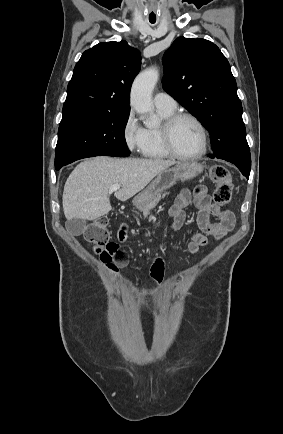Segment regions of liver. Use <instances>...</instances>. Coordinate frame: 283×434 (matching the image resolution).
<instances>
[{
    "mask_svg": "<svg viewBox=\"0 0 283 434\" xmlns=\"http://www.w3.org/2000/svg\"><path fill=\"white\" fill-rule=\"evenodd\" d=\"M177 164L171 160L99 156L78 164L66 180L63 211L68 221L95 220L111 211L109 188L126 201L143 190L160 172Z\"/></svg>",
    "mask_w": 283,
    "mask_h": 434,
    "instance_id": "obj_1",
    "label": "liver"
}]
</instances>
